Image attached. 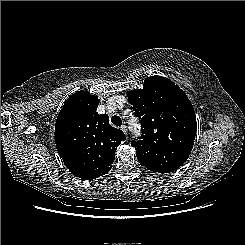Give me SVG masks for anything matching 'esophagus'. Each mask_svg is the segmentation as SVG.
Returning <instances> with one entry per match:
<instances>
[{
    "label": "esophagus",
    "instance_id": "esophagus-1",
    "mask_svg": "<svg viewBox=\"0 0 245 245\" xmlns=\"http://www.w3.org/2000/svg\"><path fill=\"white\" fill-rule=\"evenodd\" d=\"M121 130L124 132V134L127 136L128 135V130L126 125L121 126Z\"/></svg>",
    "mask_w": 245,
    "mask_h": 245
}]
</instances>
